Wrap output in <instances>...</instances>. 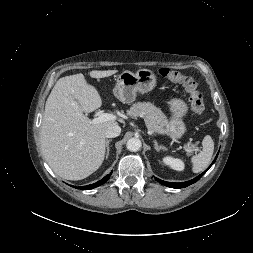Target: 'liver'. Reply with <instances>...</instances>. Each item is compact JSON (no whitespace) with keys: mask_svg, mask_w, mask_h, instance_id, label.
Listing matches in <instances>:
<instances>
[{"mask_svg":"<svg viewBox=\"0 0 253 253\" xmlns=\"http://www.w3.org/2000/svg\"><path fill=\"white\" fill-rule=\"evenodd\" d=\"M117 70H92V78H105ZM102 105L94 86L83 74L60 78L45 104L40 140L43 155L52 170L63 179L81 180L103 163L106 151L105 131L115 121L92 123L83 112Z\"/></svg>","mask_w":253,"mask_h":253,"instance_id":"1","label":"liver"}]
</instances>
